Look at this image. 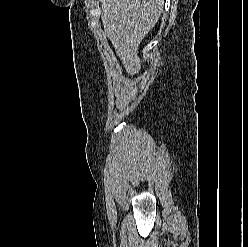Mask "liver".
<instances>
[{
	"label": "liver",
	"mask_w": 248,
	"mask_h": 247,
	"mask_svg": "<svg viewBox=\"0 0 248 247\" xmlns=\"http://www.w3.org/2000/svg\"><path fill=\"white\" fill-rule=\"evenodd\" d=\"M101 1L104 31L126 72L133 76L141 69L139 45L159 20L164 0Z\"/></svg>",
	"instance_id": "obj_1"
}]
</instances>
